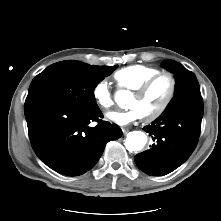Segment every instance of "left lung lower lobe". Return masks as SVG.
<instances>
[{
    "instance_id": "obj_1",
    "label": "left lung lower lobe",
    "mask_w": 221,
    "mask_h": 221,
    "mask_svg": "<svg viewBox=\"0 0 221 221\" xmlns=\"http://www.w3.org/2000/svg\"><path fill=\"white\" fill-rule=\"evenodd\" d=\"M203 117L202 97L189 98L185 104L163 112L143 129L155 142L149 150L135 156L144 173L166 175L182 165L194 151Z\"/></svg>"
}]
</instances>
